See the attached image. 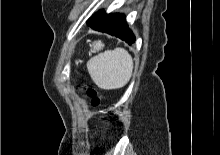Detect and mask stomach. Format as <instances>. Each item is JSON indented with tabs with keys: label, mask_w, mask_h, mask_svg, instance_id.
Instances as JSON below:
<instances>
[{
	"label": "stomach",
	"mask_w": 220,
	"mask_h": 155,
	"mask_svg": "<svg viewBox=\"0 0 220 155\" xmlns=\"http://www.w3.org/2000/svg\"><path fill=\"white\" fill-rule=\"evenodd\" d=\"M101 47H103V44L101 43V42H98V44H97V49H100Z\"/></svg>",
	"instance_id": "1"
}]
</instances>
